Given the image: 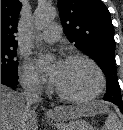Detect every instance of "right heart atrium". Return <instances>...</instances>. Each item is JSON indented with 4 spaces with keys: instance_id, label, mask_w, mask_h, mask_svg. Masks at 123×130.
Returning a JSON list of instances; mask_svg holds the SVG:
<instances>
[{
    "instance_id": "obj_1",
    "label": "right heart atrium",
    "mask_w": 123,
    "mask_h": 130,
    "mask_svg": "<svg viewBox=\"0 0 123 130\" xmlns=\"http://www.w3.org/2000/svg\"><path fill=\"white\" fill-rule=\"evenodd\" d=\"M20 81L22 86L31 92H41L44 81L29 62H24L20 68Z\"/></svg>"
}]
</instances>
